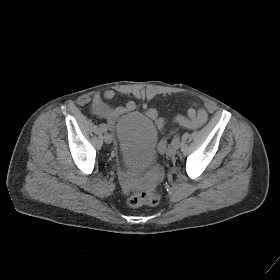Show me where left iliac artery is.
Here are the masks:
<instances>
[{"mask_svg": "<svg viewBox=\"0 0 280 280\" xmlns=\"http://www.w3.org/2000/svg\"><path fill=\"white\" fill-rule=\"evenodd\" d=\"M171 145H172L173 147H175L176 149L179 148V146H180V141H179V136H178V135L174 136V138H173V140H172V142H171Z\"/></svg>", "mask_w": 280, "mask_h": 280, "instance_id": "1", "label": "left iliac artery"}]
</instances>
